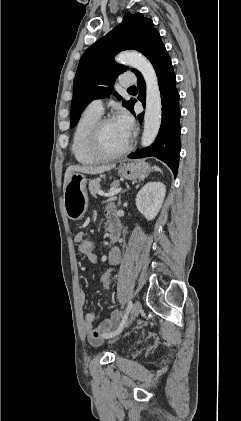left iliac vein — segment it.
<instances>
[{
	"label": "left iliac vein",
	"instance_id": "obj_1",
	"mask_svg": "<svg viewBox=\"0 0 241 421\" xmlns=\"http://www.w3.org/2000/svg\"><path fill=\"white\" fill-rule=\"evenodd\" d=\"M141 308H142V306H141L140 301H138V300L135 301L133 306H132L131 317H130L126 326H128L130 323H132V321L139 315V313L141 311ZM116 339L117 338H114L113 340H111V342L115 341Z\"/></svg>",
	"mask_w": 241,
	"mask_h": 421
}]
</instances>
